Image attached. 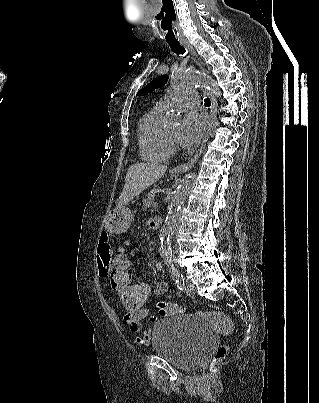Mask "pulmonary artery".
I'll return each mask as SVG.
<instances>
[{
  "instance_id": "1",
  "label": "pulmonary artery",
  "mask_w": 319,
  "mask_h": 403,
  "mask_svg": "<svg viewBox=\"0 0 319 403\" xmlns=\"http://www.w3.org/2000/svg\"><path fill=\"white\" fill-rule=\"evenodd\" d=\"M199 104V95L196 91L185 90L172 96L161 98L156 105L165 110L170 108H192Z\"/></svg>"
}]
</instances>
